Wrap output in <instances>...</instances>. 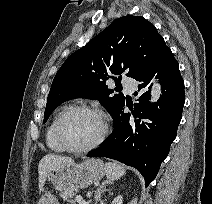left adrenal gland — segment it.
<instances>
[{"label": "left adrenal gland", "mask_w": 212, "mask_h": 204, "mask_svg": "<svg viewBox=\"0 0 212 204\" xmlns=\"http://www.w3.org/2000/svg\"><path fill=\"white\" fill-rule=\"evenodd\" d=\"M110 182L109 181H104L102 182V184L97 188L96 192H95V201L97 204L98 201L100 200L101 198V194L106 190V186L109 184Z\"/></svg>", "instance_id": "a2214340"}]
</instances>
